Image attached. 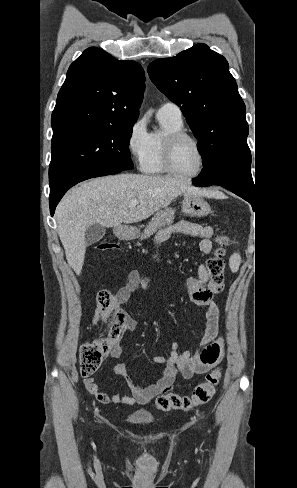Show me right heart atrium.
Returning a JSON list of instances; mask_svg holds the SVG:
<instances>
[{
  "instance_id": "d8ad5b80",
  "label": "right heart atrium",
  "mask_w": 297,
  "mask_h": 488,
  "mask_svg": "<svg viewBox=\"0 0 297 488\" xmlns=\"http://www.w3.org/2000/svg\"><path fill=\"white\" fill-rule=\"evenodd\" d=\"M148 146L149 133L147 132L146 123L144 119L139 118L131 125L126 139L127 151L139 166H142L146 159Z\"/></svg>"
}]
</instances>
